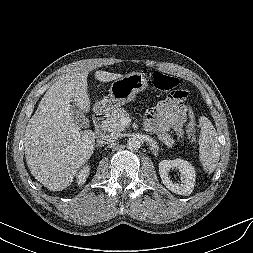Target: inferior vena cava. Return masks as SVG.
I'll return each mask as SVG.
<instances>
[{
	"label": "inferior vena cava",
	"mask_w": 253,
	"mask_h": 253,
	"mask_svg": "<svg viewBox=\"0 0 253 253\" xmlns=\"http://www.w3.org/2000/svg\"><path fill=\"white\" fill-rule=\"evenodd\" d=\"M117 140L116 135H105L102 136L101 138L98 139L99 144H108V143H113Z\"/></svg>",
	"instance_id": "602c4592"
}]
</instances>
